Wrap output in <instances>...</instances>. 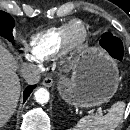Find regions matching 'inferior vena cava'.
Masks as SVG:
<instances>
[{
    "label": "inferior vena cava",
    "mask_w": 130,
    "mask_h": 130,
    "mask_svg": "<svg viewBox=\"0 0 130 130\" xmlns=\"http://www.w3.org/2000/svg\"><path fill=\"white\" fill-rule=\"evenodd\" d=\"M21 73L28 84L38 83L41 77V72L38 66L31 63H23L21 66Z\"/></svg>",
    "instance_id": "obj_1"
}]
</instances>
